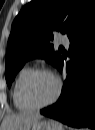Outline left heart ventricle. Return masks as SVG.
<instances>
[{"instance_id":"b2bd125f","label":"left heart ventricle","mask_w":95,"mask_h":130,"mask_svg":"<svg viewBox=\"0 0 95 130\" xmlns=\"http://www.w3.org/2000/svg\"><path fill=\"white\" fill-rule=\"evenodd\" d=\"M56 83L47 74L35 75L27 86V96L35 104L45 103L56 93Z\"/></svg>"}]
</instances>
